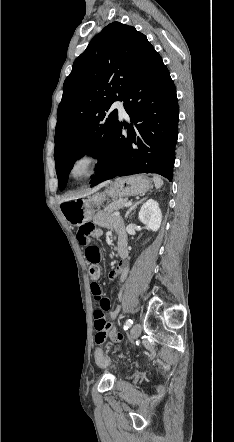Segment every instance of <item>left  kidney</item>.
Returning a JSON list of instances; mask_svg holds the SVG:
<instances>
[{
	"instance_id": "left-kidney-1",
	"label": "left kidney",
	"mask_w": 234,
	"mask_h": 442,
	"mask_svg": "<svg viewBox=\"0 0 234 442\" xmlns=\"http://www.w3.org/2000/svg\"><path fill=\"white\" fill-rule=\"evenodd\" d=\"M139 220L152 231H157L162 222V213L157 201L147 200L139 211Z\"/></svg>"
}]
</instances>
